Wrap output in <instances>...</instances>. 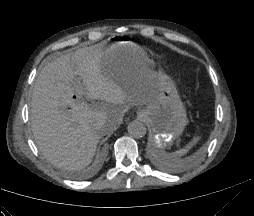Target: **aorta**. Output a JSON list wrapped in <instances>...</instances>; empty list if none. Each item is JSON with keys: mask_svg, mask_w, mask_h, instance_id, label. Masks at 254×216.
<instances>
[{"mask_svg": "<svg viewBox=\"0 0 254 216\" xmlns=\"http://www.w3.org/2000/svg\"><path fill=\"white\" fill-rule=\"evenodd\" d=\"M127 129H128L129 135L136 139L144 137L147 130L146 126L138 120H134L130 122L128 124Z\"/></svg>", "mask_w": 254, "mask_h": 216, "instance_id": "aorta-1", "label": "aorta"}]
</instances>
